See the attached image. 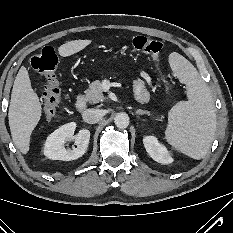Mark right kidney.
Returning a JSON list of instances; mask_svg holds the SVG:
<instances>
[{
	"mask_svg": "<svg viewBox=\"0 0 233 233\" xmlns=\"http://www.w3.org/2000/svg\"><path fill=\"white\" fill-rule=\"evenodd\" d=\"M75 129L76 123L71 122L50 134L45 142L44 155L49 159L62 161L75 160L84 155L88 148L90 131L82 129L74 135ZM67 140H75L77 148L65 149Z\"/></svg>",
	"mask_w": 233,
	"mask_h": 233,
	"instance_id": "right-kidney-1",
	"label": "right kidney"
}]
</instances>
